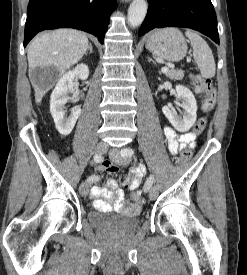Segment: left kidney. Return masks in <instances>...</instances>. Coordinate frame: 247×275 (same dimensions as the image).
<instances>
[{
	"instance_id": "5707ae66",
	"label": "left kidney",
	"mask_w": 247,
	"mask_h": 275,
	"mask_svg": "<svg viewBox=\"0 0 247 275\" xmlns=\"http://www.w3.org/2000/svg\"><path fill=\"white\" fill-rule=\"evenodd\" d=\"M176 99L181 103H177L183 108L181 115H177L172 105L162 108V111L172 126L179 132L188 131L195 123L197 115V103L192 92L182 85H176Z\"/></svg>"
}]
</instances>
